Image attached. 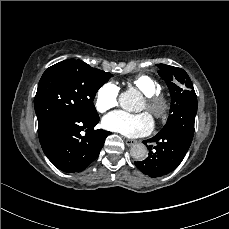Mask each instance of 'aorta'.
<instances>
[{
  "instance_id": "1",
  "label": "aorta",
  "mask_w": 229,
  "mask_h": 229,
  "mask_svg": "<svg viewBox=\"0 0 229 229\" xmlns=\"http://www.w3.org/2000/svg\"><path fill=\"white\" fill-rule=\"evenodd\" d=\"M120 106L129 112H135L140 109L141 95L136 90L123 92L119 97ZM131 156L136 160H143L147 157V147L142 143H136L131 146Z\"/></svg>"
}]
</instances>
